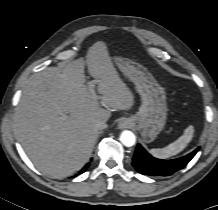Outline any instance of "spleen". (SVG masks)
I'll return each instance as SVG.
<instances>
[{"instance_id": "spleen-1", "label": "spleen", "mask_w": 218, "mask_h": 210, "mask_svg": "<svg viewBox=\"0 0 218 210\" xmlns=\"http://www.w3.org/2000/svg\"><path fill=\"white\" fill-rule=\"evenodd\" d=\"M194 134V127L192 125L188 126L183 135L180 136L176 141L170 143L164 148H153L150 153L160 159H167L171 156L180 153L192 140Z\"/></svg>"}]
</instances>
